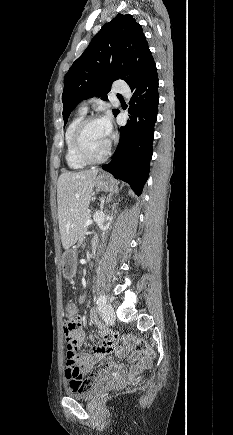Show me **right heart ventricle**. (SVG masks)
<instances>
[{"label": "right heart ventricle", "mask_w": 233, "mask_h": 435, "mask_svg": "<svg viewBox=\"0 0 233 435\" xmlns=\"http://www.w3.org/2000/svg\"><path fill=\"white\" fill-rule=\"evenodd\" d=\"M84 117H85V111L80 110L76 114V116L69 122L65 131V146H66L65 159L67 165L74 170L83 169L84 167L87 166V163L84 162L82 159H80V157L77 155L73 143V135H74L75 128Z\"/></svg>", "instance_id": "right-heart-ventricle-1"}]
</instances>
